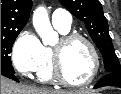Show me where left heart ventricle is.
<instances>
[{"label": "left heart ventricle", "instance_id": "left-heart-ventricle-1", "mask_svg": "<svg viewBox=\"0 0 121 94\" xmlns=\"http://www.w3.org/2000/svg\"><path fill=\"white\" fill-rule=\"evenodd\" d=\"M59 45V41L55 46ZM63 69L66 77L80 83L86 81L93 72L94 63L89 48L82 41H73L62 52Z\"/></svg>", "mask_w": 121, "mask_h": 94}]
</instances>
